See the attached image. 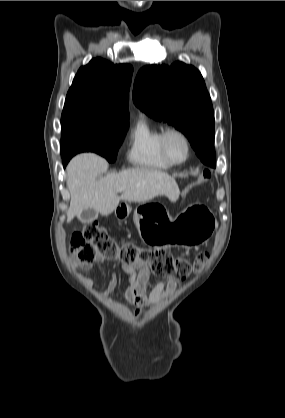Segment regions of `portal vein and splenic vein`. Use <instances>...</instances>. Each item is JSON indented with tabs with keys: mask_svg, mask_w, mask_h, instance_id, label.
<instances>
[{
	"mask_svg": "<svg viewBox=\"0 0 285 418\" xmlns=\"http://www.w3.org/2000/svg\"><path fill=\"white\" fill-rule=\"evenodd\" d=\"M117 191L118 192H123L124 191V188H119Z\"/></svg>",
	"mask_w": 285,
	"mask_h": 418,
	"instance_id": "18ae733b",
	"label": "portal vein and splenic vein"
}]
</instances>
